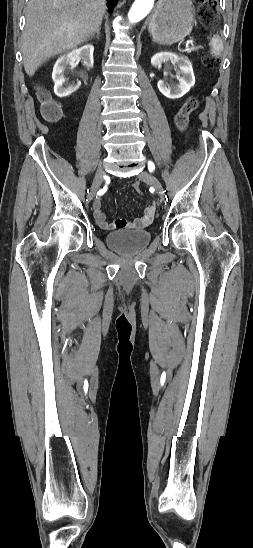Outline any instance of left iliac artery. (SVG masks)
<instances>
[{
  "label": "left iliac artery",
  "mask_w": 253,
  "mask_h": 548,
  "mask_svg": "<svg viewBox=\"0 0 253 548\" xmlns=\"http://www.w3.org/2000/svg\"><path fill=\"white\" fill-rule=\"evenodd\" d=\"M149 170L152 171L154 169V164L152 162L148 163Z\"/></svg>",
  "instance_id": "left-iliac-artery-1"
}]
</instances>
